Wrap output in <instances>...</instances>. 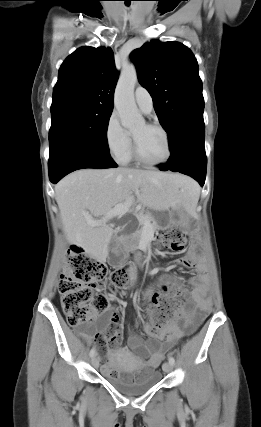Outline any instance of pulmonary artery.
I'll use <instances>...</instances> for the list:
<instances>
[{"label": "pulmonary artery", "mask_w": 261, "mask_h": 427, "mask_svg": "<svg viewBox=\"0 0 261 427\" xmlns=\"http://www.w3.org/2000/svg\"><path fill=\"white\" fill-rule=\"evenodd\" d=\"M135 101L138 107L144 112L149 113L153 109V99L147 89L139 86L135 90Z\"/></svg>", "instance_id": "pulmonary-artery-1"}]
</instances>
